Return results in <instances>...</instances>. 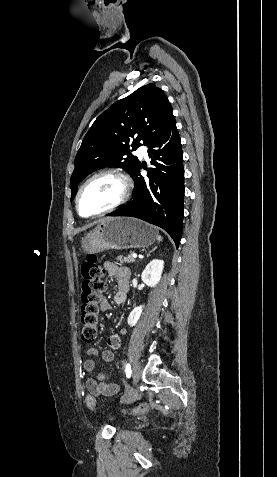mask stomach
I'll use <instances>...</instances> for the list:
<instances>
[{
  "instance_id": "stomach-1",
  "label": "stomach",
  "mask_w": 277,
  "mask_h": 477,
  "mask_svg": "<svg viewBox=\"0 0 277 477\" xmlns=\"http://www.w3.org/2000/svg\"><path fill=\"white\" fill-rule=\"evenodd\" d=\"M157 229L139 219L112 217L103 219L82 240L81 247L88 254L109 249L144 248L157 239Z\"/></svg>"
}]
</instances>
